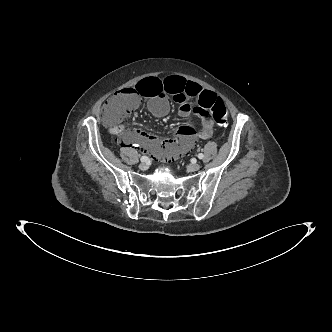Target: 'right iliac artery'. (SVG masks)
<instances>
[{"mask_svg": "<svg viewBox=\"0 0 332 332\" xmlns=\"http://www.w3.org/2000/svg\"><path fill=\"white\" fill-rule=\"evenodd\" d=\"M140 160H141V162H147L148 157L147 156H142Z\"/></svg>", "mask_w": 332, "mask_h": 332, "instance_id": "right-iliac-artery-1", "label": "right iliac artery"}]
</instances>
